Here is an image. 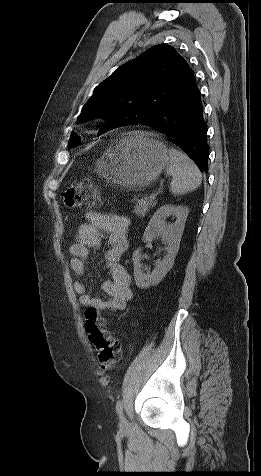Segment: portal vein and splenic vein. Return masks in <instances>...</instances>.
Segmentation results:
<instances>
[{
	"label": "portal vein and splenic vein",
	"mask_w": 261,
	"mask_h": 476,
	"mask_svg": "<svg viewBox=\"0 0 261 476\" xmlns=\"http://www.w3.org/2000/svg\"><path fill=\"white\" fill-rule=\"evenodd\" d=\"M156 196H157L156 193H152V194L150 195V199H153V200H154V199L156 198Z\"/></svg>",
	"instance_id": "1"
}]
</instances>
